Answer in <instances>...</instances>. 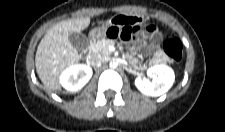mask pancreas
<instances>
[{
    "instance_id": "obj_1",
    "label": "pancreas",
    "mask_w": 225,
    "mask_h": 132,
    "mask_svg": "<svg viewBox=\"0 0 225 132\" xmlns=\"http://www.w3.org/2000/svg\"><path fill=\"white\" fill-rule=\"evenodd\" d=\"M114 41L109 39H101L97 42H94L90 46V51L93 54H98L104 57H108L111 55V51L109 50L110 46H114Z\"/></svg>"
}]
</instances>
